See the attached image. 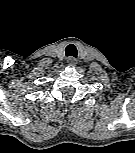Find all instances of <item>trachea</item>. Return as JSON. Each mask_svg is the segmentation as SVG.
Returning a JSON list of instances; mask_svg holds the SVG:
<instances>
[{
    "instance_id": "trachea-1",
    "label": "trachea",
    "mask_w": 135,
    "mask_h": 153,
    "mask_svg": "<svg viewBox=\"0 0 135 153\" xmlns=\"http://www.w3.org/2000/svg\"><path fill=\"white\" fill-rule=\"evenodd\" d=\"M65 54L66 56H72V57H77V49L76 46L73 44H69L66 49H65Z\"/></svg>"
}]
</instances>
